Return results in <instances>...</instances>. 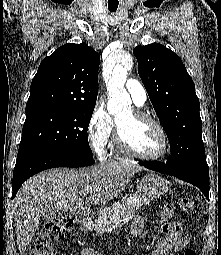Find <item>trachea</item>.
<instances>
[{
    "label": "trachea",
    "instance_id": "3493384b",
    "mask_svg": "<svg viewBox=\"0 0 221 255\" xmlns=\"http://www.w3.org/2000/svg\"><path fill=\"white\" fill-rule=\"evenodd\" d=\"M109 10H110L111 12H115V11H116V8H109Z\"/></svg>",
    "mask_w": 221,
    "mask_h": 255
}]
</instances>
